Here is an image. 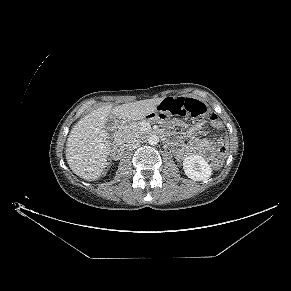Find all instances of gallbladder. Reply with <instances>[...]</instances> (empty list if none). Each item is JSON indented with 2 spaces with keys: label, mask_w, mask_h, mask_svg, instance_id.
I'll return each instance as SVG.
<instances>
[{
  "label": "gallbladder",
  "mask_w": 291,
  "mask_h": 291,
  "mask_svg": "<svg viewBox=\"0 0 291 291\" xmlns=\"http://www.w3.org/2000/svg\"><path fill=\"white\" fill-rule=\"evenodd\" d=\"M119 125L118 119L113 116L109 115L105 121V127L104 129L108 132L109 137H113L115 131L117 130Z\"/></svg>",
  "instance_id": "gallbladder-1"
}]
</instances>
